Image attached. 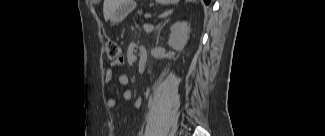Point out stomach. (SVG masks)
Instances as JSON below:
<instances>
[{"label": "stomach", "instance_id": "obj_1", "mask_svg": "<svg viewBox=\"0 0 325 136\" xmlns=\"http://www.w3.org/2000/svg\"><path fill=\"white\" fill-rule=\"evenodd\" d=\"M160 4H171L175 3L176 0H156ZM137 7L136 1L130 0H122V3L118 7V9L111 15L110 21L113 23H119L124 20V18L130 14V12H134Z\"/></svg>", "mask_w": 325, "mask_h": 136}]
</instances>
